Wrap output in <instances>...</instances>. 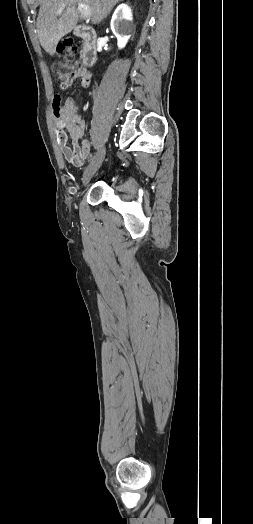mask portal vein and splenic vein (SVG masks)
<instances>
[{"mask_svg":"<svg viewBox=\"0 0 253 524\" xmlns=\"http://www.w3.org/2000/svg\"><path fill=\"white\" fill-rule=\"evenodd\" d=\"M77 7H78V10L80 11L81 15L84 17V18H90L91 17V10H90V7L85 5V4H82V3H78L77 4ZM64 8V6L61 8V10ZM60 10V11H61Z\"/></svg>","mask_w":253,"mask_h":524,"instance_id":"18ae733b","label":"portal vein and splenic vein"}]
</instances>
